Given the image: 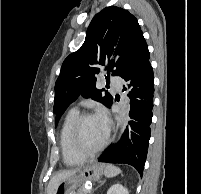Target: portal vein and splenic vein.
<instances>
[{
    "mask_svg": "<svg viewBox=\"0 0 201 194\" xmlns=\"http://www.w3.org/2000/svg\"><path fill=\"white\" fill-rule=\"evenodd\" d=\"M86 191H87V192H89V193L91 192V190H90V189H88V190H86Z\"/></svg>",
    "mask_w": 201,
    "mask_h": 194,
    "instance_id": "portal-vein-and-splenic-vein-1",
    "label": "portal vein and splenic vein"
}]
</instances>
